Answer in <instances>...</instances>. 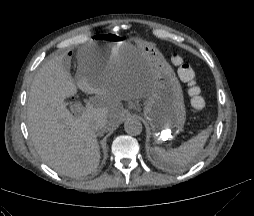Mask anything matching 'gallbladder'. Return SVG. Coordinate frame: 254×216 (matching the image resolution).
<instances>
[{
	"instance_id": "obj_1",
	"label": "gallbladder",
	"mask_w": 254,
	"mask_h": 216,
	"mask_svg": "<svg viewBox=\"0 0 254 216\" xmlns=\"http://www.w3.org/2000/svg\"><path fill=\"white\" fill-rule=\"evenodd\" d=\"M64 66H65V68H67V66H68V65H67V64H65Z\"/></svg>"
}]
</instances>
